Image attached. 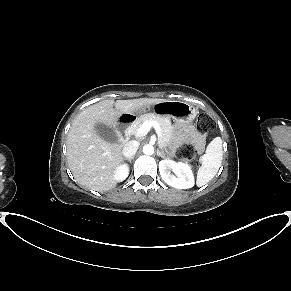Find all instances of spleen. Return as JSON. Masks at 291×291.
Masks as SVG:
<instances>
[{"instance_id":"obj_1","label":"spleen","mask_w":291,"mask_h":291,"mask_svg":"<svg viewBox=\"0 0 291 291\" xmlns=\"http://www.w3.org/2000/svg\"><path fill=\"white\" fill-rule=\"evenodd\" d=\"M222 156V139L216 137L209 143L205 154L200 159L202 165L197 173V186H204L215 177L221 166Z\"/></svg>"}]
</instances>
